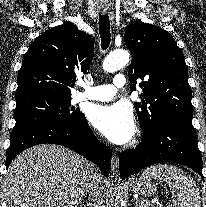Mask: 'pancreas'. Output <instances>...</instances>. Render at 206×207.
<instances>
[{"mask_svg": "<svg viewBox=\"0 0 206 207\" xmlns=\"http://www.w3.org/2000/svg\"><path fill=\"white\" fill-rule=\"evenodd\" d=\"M148 205H149V203L146 202V201H144V206H145V207H148Z\"/></svg>", "mask_w": 206, "mask_h": 207, "instance_id": "pancreas-1", "label": "pancreas"}]
</instances>
